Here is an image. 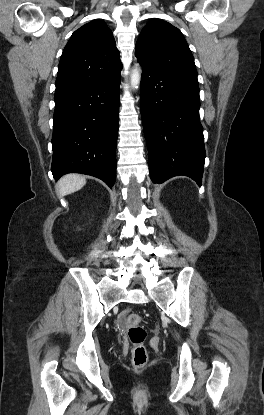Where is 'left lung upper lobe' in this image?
Listing matches in <instances>:
<instances>
[{"label":"left lung upper lobe","instance_id":"5c2ea615","mask_svg":"<svg viewBox=\"0 0 264 415\" xmlns=\"http://www.w3.org/2000/svg\"><path fill=\"white\" fill-rule=\"evenodd\" d=\"M138 62L156 71L197 78L194 58L181 31L161 19H152L136 43Z\"/></svg>","mask_w":264,"mask_h":415}]
</instances>
